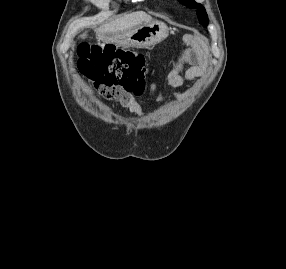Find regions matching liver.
<instances>
[{"instance_id": "1", "label": "liver", "mask_w": 286, "mask_h": 269, "mask_svg": "<svg viewBox=\"0 0 286 269\" xmlns=\"http://www.w3.org/2000/svg\"><path fill=\"white\" fill-rule=\"evenodd\" d=\"M152 21L153 19L150 15L144 12H134L131 14L119 16L110 23L100 26L95 31L97 34L124 32L132 29L133 27L141 23Z\"/></svg>"}]
</instances>
